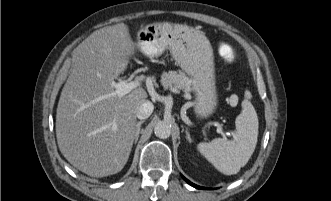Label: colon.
<instances>
[{"mask_svg":"<svg viewBox=\"0 0 331 201\" xmlns=\"http://www.w3.org/2000/svg\"><path fill=\"white\" fill-rule=\"evenodd\" d=\"M220 55L227 61H232L235 58V51L229 44H222L219 48Z\"/></svg>","mask_w":331,"mask_h":201,"instance_id":"obj_1","label":"colon"}]
</instances>
